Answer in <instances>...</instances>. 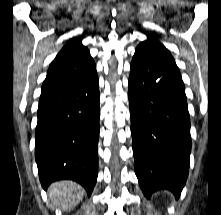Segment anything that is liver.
<instances>
[{
  "label": "liver",
  "instance_id": "1",
  "mask_svg": "<svg viewBox=\"0 0 221 215\" xmlns=\"http://www.w3.org/2000/svg\"><path fill=\"white\" fill-rule=\"evenodd\" d=\"M83 196L82 186L69 180L52 183L48 189V197L52 205L63 211L73 209Z\"/></svg>",
  "mask_w": 221,
  "mask_h": 215
}]
</instances>
